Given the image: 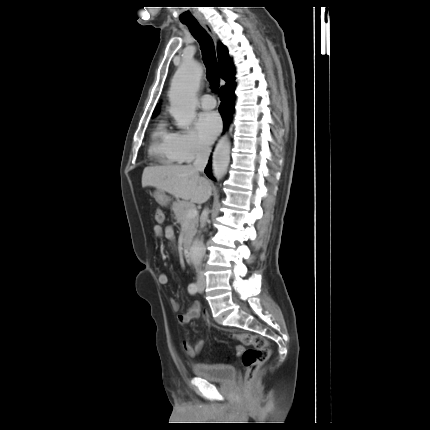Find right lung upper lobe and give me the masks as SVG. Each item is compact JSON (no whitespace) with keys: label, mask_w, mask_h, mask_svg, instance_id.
Instances as JSON below:
<instances>
[{"label":"right lung upper lobe","mask_w":430,"mask_h":430,"mask_svg":"<svg viewBox=\"0 0 430 430\" xmlns=\"http://www.w3.org/2000/svg\"><path fill=\"white\" fill-rule=\"evenodd\" d=\"M218 62L221 69V77L226 81V84L221 87V90L235 85V72L232 61L228 55V50L223 44L218 45ZM159 110V104L156 106L153 115Z\"/></svg>","instance_id":"obj_1"}]
</instances>
